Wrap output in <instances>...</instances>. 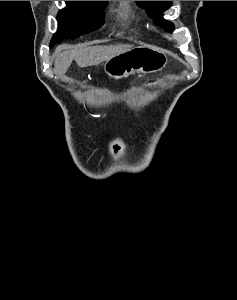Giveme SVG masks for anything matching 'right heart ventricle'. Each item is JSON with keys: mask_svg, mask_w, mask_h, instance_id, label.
Here are the masks:
<instances>
[{"mask_svg": "<svg viewBox=\"0 0 237 300\" xmlns=\"http://www.w3.org/2000/svg\"><path fill=\"white\" fill-rule=\"evenodd\" d=\"M123 13L128 16L131 13V5L129 1H121L120 2Z\"/></svg>", "mask_w": 237, "mask_h": 300, "instance_id": "right-heart-ventricle-1", "label": "right heart ventricle"}]
</instances>
